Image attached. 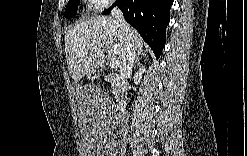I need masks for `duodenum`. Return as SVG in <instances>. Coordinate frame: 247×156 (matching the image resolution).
Wrapping results in <instances>:
<instances>
[{
	"instance_id": "1",
	"label": "duodenum",
	"mask_w": 247,
	"mask_h": 156,
	"mask_svg": "<svg viewBox=\"0 0 247 156\" xmlns=\"http://www.w3.org/2000/svg\"><path fill=\"white\" fill-rule=\"evenodd\" d=\"M109 78L112 80L113 82V85L115 87V91L117 93V96H118V107H121L122 105V95L124 93V86H123V83L121 81L120 78H117L116 76L114 75H110Z\"/></svg>"
}]
</instances>
